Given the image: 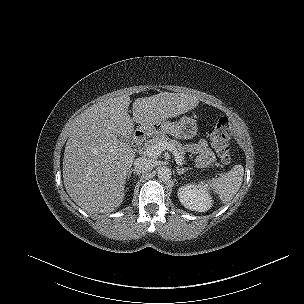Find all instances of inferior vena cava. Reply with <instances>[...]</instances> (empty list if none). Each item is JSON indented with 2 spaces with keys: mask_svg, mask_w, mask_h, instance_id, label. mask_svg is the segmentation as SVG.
<instances>
[{
  "mask_svg": "<svg viewBox=\"0 0 304 304\" xmlns=\"http://www.w3.org/2000/svg\"><path fill=\"white\" fill-rule=\"evenodd\" d=\"M134 170L138 173H144L154 168L155 163L147 157H139L133 162Z\"/></svg>",
  "mask_w": 304,
  "mask_h": 304,
  "instance_id": "obj_1",
  "label": "inferior vena cava"
}]
</instances>
